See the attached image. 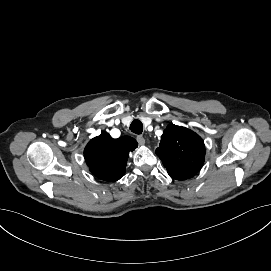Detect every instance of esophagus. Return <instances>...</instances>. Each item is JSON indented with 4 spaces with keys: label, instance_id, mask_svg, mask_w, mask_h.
<instances>
[{
    "label": "esophagus",
    "instance_id": "esophagus-1",
    "mask_svg": "<svg viewBox=\"0 0 271 271\" xmlns=\"http://www.w3.org/2000/svg\"><path fill=\"white\" fill-rule=\"evenodd\" d=\"M136 140L140 145H144L147 142V137L145 135H138Z\"/></svg>",
    "mask_w": 271,
    "mask_h": 271
}]
</instances>
